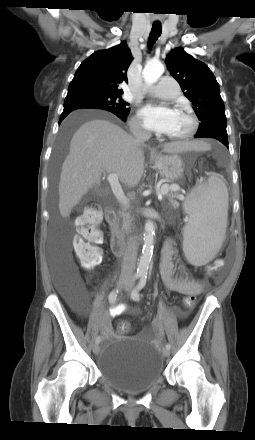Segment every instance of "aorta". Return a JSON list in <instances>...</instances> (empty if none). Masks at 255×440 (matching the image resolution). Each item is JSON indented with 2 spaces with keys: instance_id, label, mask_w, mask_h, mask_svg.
<instances>
[{
  "instance_id": "obj_1",
  "label": "aorta",
  "mask_w": 255,
  "mask_h": 440,
  "mask_svg": "<svg viewBox=\"0 0 255 440\" xmlns=\"http://www.w3.org/2000/svg\"><path fill=\"white\" fill-rule=\"evenodd\" d=\"M164 73V66L159 61H149L146 63L142 76L146 83V85L151 86L158 81V79ZM145 232L143 238V248L142 255L140 256L137 273L141 275H145L148 272L151 257L153 254L154 248V235H155V226L152 221H147L145 223Z\"/></svg>"
}]
</instances>
